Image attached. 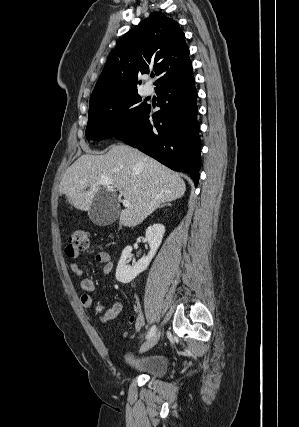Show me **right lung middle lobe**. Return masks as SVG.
Segmentation results:
<instances>
[{"instance_id":"obj_1","label":"right lung middle lobe","mask_w":299,"mask_h":427,"mask_svg":"<svg viewBox=\"0 0 299 427\" xmlns=\"http://www.w3.org/2000/svg\"><path fill=\"white\" fill-rule=\"evenodd\" d=\"M137 91L108 97L89 104L86 137L101 140L118 136L135 126L149 109Z\"/></svg>"}]
</instances>
